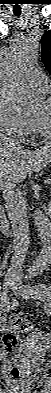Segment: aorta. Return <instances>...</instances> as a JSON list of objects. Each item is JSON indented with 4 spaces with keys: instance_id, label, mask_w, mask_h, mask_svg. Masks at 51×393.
Here are the masks:
<instances>
[{
    "instance_id": "1",
    "label": "aorta",
    "mask_w": 51,
    "mask_h": 393,
    "mask_svg": "<svg viewBox=\"0 0 51 393\" xmlns=\"http://www.w3.org/2000/svg\"><path fill=\"white\" fill-rule=\"evenodd\" d=\"M38 58V47L25 38L10 45L8 55L1 65V92L10 106L17 112L30 113L39 109L41 99L29 80ZM34 223L42 238L43 250L36 258L33 272L46 271L51 262V223L39 209L34 211Z\"/></svg>"
}]
</instances>
